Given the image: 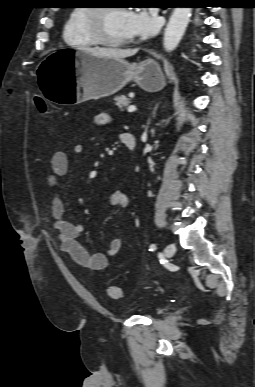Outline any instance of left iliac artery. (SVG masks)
Returning <instances> with one entry per match:
<instances>
[{"label":"left iliac artery","mask_w":255,"mask_h":387,"mask_svg":"<svg viewBox=\"0 0 255 387\" xmlns=\"http://www.w3.org/2000/svg\"><path fill=\"white\" fill-rule=\"evenodd\" d=\"M156 250V245L155 244H151L150 247H149V251H155Z\"/></svg>","instance_id":"44dca946"}]
</instances>
